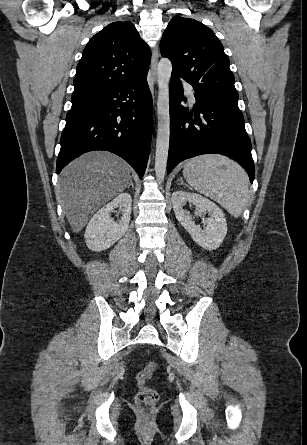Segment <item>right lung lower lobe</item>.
Returning a JSON list of instances; mask_svg holds the SVG:
<instances>
[{"label": "right lung lower lobe", "instance_id": "right-lung-lower-lobe-1", "mask_svg": "<svg viewBox=\"0 0 307 445\" xmlns=\"http://www.w3.org/2000/svg\"><path fill=\"white\" fill-rule=\"evenodd\" d=\"M146 75L129 83L72 97L61 135L56 172L81 154L107 150L142 178L149 156L152 98Z\"/></svg>", "mask_w": 307, "mask_h": 445}]
</instances>
